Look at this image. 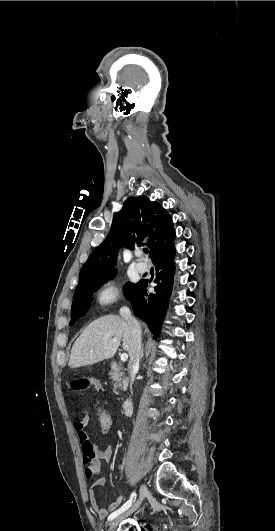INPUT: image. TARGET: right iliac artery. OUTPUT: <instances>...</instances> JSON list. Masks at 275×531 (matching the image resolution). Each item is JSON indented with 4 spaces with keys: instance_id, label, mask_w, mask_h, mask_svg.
<instances>
[{
    "instance_id": "1",
    "label": "right iliac artery",
    "mask_w": 275,
    "mask_h": 531,
    "mask_svg": "<svg viewBox=\"0 0 275 531\" xmlns=\"http://www.w3.org/2000/svg\"><path fill=\"white\" fill-rule=\"evenodd\" d=\"M136 499V493L133 492L130 496V499L118 510L111 513L108 517V521H112L114 518H116L118 515L126 511L133 503V501Z\"/></svg>"
}]
</instances>
